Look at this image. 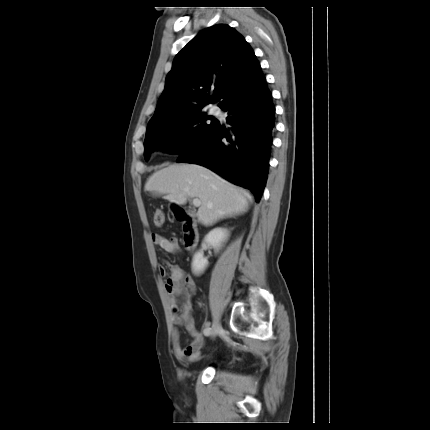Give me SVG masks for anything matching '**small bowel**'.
<instances>
[{
	"label": "small bowel",
	"instance_id": "c3829d8e",
	"mask_svg": "<svg viewBox=\"0 0 430 430\" xmlns=\"http://www.w3.org/2000/svg\"><path fill=\"white\" fill-rule=\"evenodd\" d=\"M152 241L168 253L179 252V243L175 237L167 238L159 233H153ZM168 268L170 275L167 274L163 278L165 281L164 289L168 294L171 307L179 311L173 314L172 321L176 326H184L194 338L188 346L182 348L179 343L178 332L175 329L172 333V350L176 358L193 362L200 357L201 349L205 344L204 336L196 331L192 317L191 299L196 291V283L180 266L168 264ZM159 270L161 274L165 273L162 265L159 266ZM208 327L209 322H206L203 331Z\"/></svg>",
	"mask_w": 430,
	"mask_h": 430
}]
</instances>
